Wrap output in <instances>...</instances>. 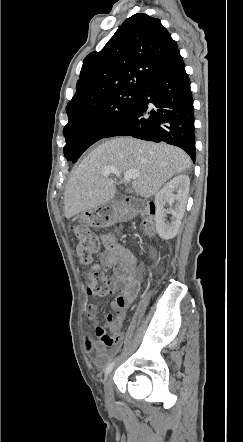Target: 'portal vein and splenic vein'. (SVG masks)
Segmentation results:
<instances>
[{
  "label": "portal vein and splenic vein",
  "mask_w": 243,
  "mask_h": 442,
  "mask_svg": "<svg viewBox=\"0 0 243 442\" xmlns=\"http://www.w3.org/2000/svg\"><path fill=\"white\" fill-rule=\"evenodd\" d=\"M112 173L115 174L117 177H120V175H121V172L116 167H113V166L105 167L104 170L102 171V175L104 177H107L108 175H110ZM138 176H139L138 171L127 170L124 172V179L123 180L125 182H130L131 179H136Z\"/></svg>",
  "instance_id": "obj_1"
}]
</instances>
